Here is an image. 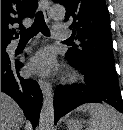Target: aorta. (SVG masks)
I'll return each mask as SVG.
<instances>
[{"label": "aorta", "instance_id": "obj_1", "mask_svg": "<svg viewBox=\"0 0 123 130\" xmlns=\"http://www.w3.org/2000/svg\"><path fill=\"white\" fill-rule=\"evenodd\" d=\"M49 15L55 20H61L65 17V8L62 5H53L50 8ZM54 128V105L52 88L48 85L44 92L43 104L39 119V130H53Z\"/></svg>", "mask_w": 123, "mask_h": 130}]
</instances>
